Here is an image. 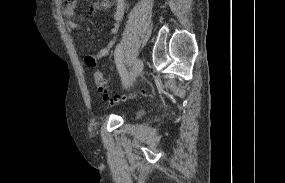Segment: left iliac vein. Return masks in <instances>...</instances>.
Listing matches in <instances>:
<instances>
[{
  "label": "left iliac vein",
  "mask_w": 285,
  "mask_h": 183,
  "mask_svg": "<svg viewBox=\"0 0 285 183\" xmlns=\"http://www.w3.org/2000/svg\"><path fill=\"white\" fill-rule=\"evenodd\" d=\"M142 70H143V61L140 58H138L134 63L132 74L129 81L127 82V86H130L134 82V80L142 73Z\"/></svg>",
  "instance_id": "left-iliac-vein-1"
}]
</instances>
